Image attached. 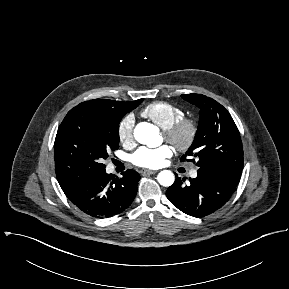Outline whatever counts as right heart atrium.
Masks as SVG:
<instances>
[{"instance_id":"obj_1","label":"right heart atrium","mask_w":289,"mask_h":289,"mask_svg":"<svg viewBox=\"0 0 289 289\" xmlns=\"http://www.w3.org/2000/svg\"><path fill=\"white\" fill-rule=\"evenodd\" d=\"M118 138L124 145H130L134 141V117L126 115L118 125Z\"/></svg>"}]
</instances>
